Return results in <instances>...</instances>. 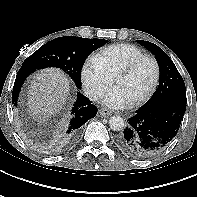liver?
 Returning a JSON list of instances; mask_svg holds the SVG:
<instances>
[{
  "mask_svg": "<svg viewBox=\"0 0 197 197\" xmlns=\"http://www.w3.org/2000/svg\"><path fill=\"white\" fill-rule=\"evenodd\" d=\"M28 90V107L38 119L58 112L69 94V80L55 68H46L34 76Z\"/></svg>",
  "mask_w": 197,
  "mask_h": 197,
  "instance_id": "1",
  "label": "liver"
}]
</instances>
